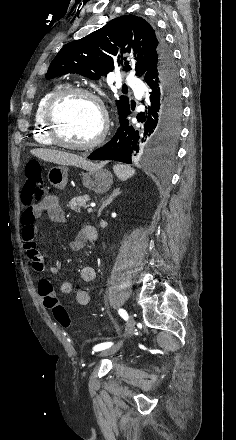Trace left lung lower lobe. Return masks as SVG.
Instances as JSON below:
<instances>
[{"mask_svg": "<svg viewBox=\"0 0 236 440\" xmlns=\"http://www.w3.org/2000/svg\"><path fill=\"white\" fill-rule=\"evenodd\" d=\"M142 78L151 92L145 110L137 115L140 127L130 125L129 107L119 116L120 127L112 140L88 159L132 163V159L145 152L162 153L173 144L182 118L181 87L173 57L151 62Z\"/></svg>", "mask_w": 236, "mask_h": 440, "instance_id": "1", "label": "left lung lower lobe"}]
</instances>
